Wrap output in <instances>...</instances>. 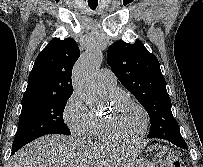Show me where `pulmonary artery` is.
<instances>
[{
    "label": "pulmonary artery",
    "mask_w": 203,
    "mask_h": 167,
    "mask_svg": "<svg viewBox=\"0 0 203 167\" xmlns=\"http://www.w3.org/2000/svg\"><path fill=\"white\" fill-rule=\"evenodd\" d=\"M97 81H98V84L103 89H108V90L114 89L117 84V78L115 74L111 70L106 68H103L98 72Z\"/></svg>",
    "instance_id": "pulmonary-artery-1"
}]
</instances>
